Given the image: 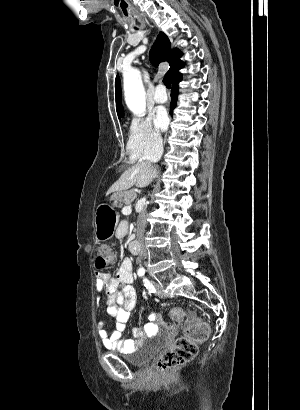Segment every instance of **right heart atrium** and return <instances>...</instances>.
Returning <instances> with one entry per match:
<instances>
[{
  "mask_svg": "<svg viewBox=\"0 0 300 410\" xmlns=\"http://www.w3.org/2000/svg\"><path fill=\"white\" fill-rule=\"evenodd\" d=\"M162 136L149 118L135 117L128 130L127 154L130 160H136L146 154H153L160 149Z\"/></svg>",
  "mask_w": 300,
  "mask_h": 410,
  "instance_id": "obj_1",
  "label": "right heart atrium"
}]
</instances>
